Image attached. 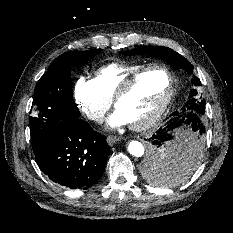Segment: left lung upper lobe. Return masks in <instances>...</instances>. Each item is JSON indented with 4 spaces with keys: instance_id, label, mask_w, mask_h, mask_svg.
I'll list each match as a JSON object with an SVG mask.
<instances>
[{
    "instance_id": "5c2ea615",
    "label": "left lung upper lobe",
    "mask_w": 233,
    "mask_h": 233,
    "mask_svg": "<svg viewBox=\"0 0 233 233\" xmlns=\"http://www.w3.org/2000/svg\"><path fill=\"white\" fill-rule=\"evenodd\" d=\"M125 55H148L163 59L174 69L182 68L188 73H192L193 65L182 55L167 47L142 46L136 49L121 52ZM193 89L190 90L189 98L182 112H173V120L182 124H191L201 121V117L205 114V100L199 94V86L201 82L197 77H193Z\"/></svg>"
}]
</instances>
